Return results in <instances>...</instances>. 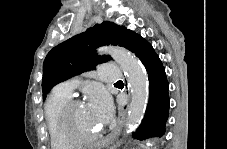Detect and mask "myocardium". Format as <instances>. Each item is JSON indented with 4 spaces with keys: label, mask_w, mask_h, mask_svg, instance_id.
I'll return each instance as SVG.
<instances>
[{
    "label": "myocardium",
    "mask_w": 227,
    "mask_h": 149,
    "mask_svg": "<svg viewBox=\"0 0 227 149\" xmlns=\"http://www.w3.org/2000/svg\"><path fill=\"white\" fill-rule=\"evenodd\" d=\"M83 105V101L73 99L67 102L62 108L59 116L60 128L63 136L75 145H89L100 137V131L91 136H81L76 134L71 128L72 115L78 106Z\"/></svg>",
    "instance_id": "myocardium-1"
}]
</instances>
